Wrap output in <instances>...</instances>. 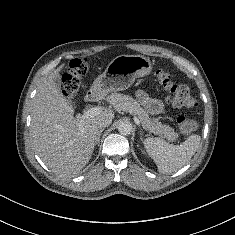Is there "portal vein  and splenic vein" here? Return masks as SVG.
I'll return each mask as SVG.
<instances>
[{
    "mask_svg": "<svg viewBox=\"0 0 235 235\" xmlns=\"http://www.w3.org/2000/svg\"><path fill=\"white\" fill-rule=\"evenodd\" d=\"M101 111H102V108L99 107V106L98 107H92V108H90V109H88L84 112V114L82 115V118L95 117L98 114H100ZM133 119H134V122L137 125H139L140 122H139V119L136 115H134Z\"/></svg>",
    "mask_w": 235,
    "mask_h": 235,
    "instance_id": "18ae733b",
    "label": "portal vein and splenic vein"
}]
</instances>
